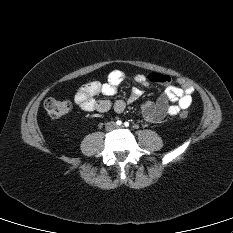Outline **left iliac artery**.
<instances>
[{
    "label": "left iliac artery",
    "mask_w": 233,
    "mask_h": 233,
    "mask_svg": "<svg viewBox=\"0 0 233 233\" xmlns=\"http://www.w3.org/2000/svg\"><path fill=\"white\" fill-rule=\"evenodd\" d=\"M124 126H125V127H128V126H129V122H125V123H124Z\"/></svg>",
    "instance_id": "1"
}]
</instances>
